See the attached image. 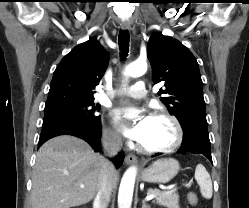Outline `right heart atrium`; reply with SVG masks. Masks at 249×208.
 <instances>
[{
	"label": "right heart atrium",
	"mask_w": 249,
	"mask_h": 208,
	"mask_svg": "<svg viewBox=\"0 0 249 208\" xmlns=\"http://www.w3.org/2000/svg\"><path fill=\"white\" fill-rule=\"evenodd\" d=\"M104 139L112 145H117L120 143V135L118 134V132L112 128H106L104 130Z\"/></svg>",
	"instance_id": "d8ad5b80"
}]
</instances>
